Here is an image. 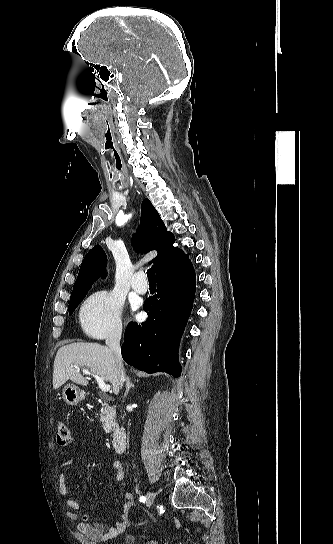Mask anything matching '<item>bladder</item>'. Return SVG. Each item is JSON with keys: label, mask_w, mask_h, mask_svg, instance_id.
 I'll use <instances>...</instances> for the list:
<instances>
[{"label": "bladder", "mask_w": 333, "mask_h": 544, "mask_svg": "<svg viewBox=\"0 0 333 544\" xmlns=\"http://www.w3.org/2000/svg\"><path fill=\"white\" fill-rule=\"evenodd\" d=\"M128 544H160L159 541L152 537H143L139 541L135 538H128L127 539Z\"/></svg>", "instance_id": "obj_1"}]
</instances>
